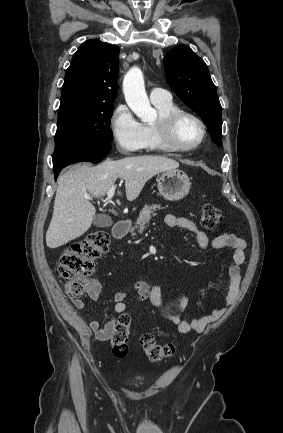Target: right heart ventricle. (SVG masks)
<instances>
[{"mask_svg":"<svg viewBox=\"0 0 283 433\" xmlns=\"http://www.w3.org/2000/svg\"><path fill=\"white\" fill-rule=\"evenodd\" d=\"M154 106L157 112V119L155 122L144 124L143 128L150 144L156 145L161 150L169 151L164 147L160 126L167 115L179 108L172 100L156 103Z\"/></svg>","mask_w":283,"mask_h":433,"instance_id":"right-heart-ventricle-1","label":"right heart ventricle"}]
</instances>
